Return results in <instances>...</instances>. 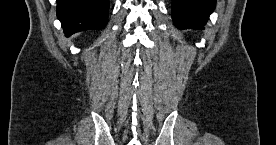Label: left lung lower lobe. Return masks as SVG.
Wrapping results in <instances>:
<instances>
[{
  "mask_svg": "<svg viewBox=\"0 0 276 145\" xmlns=\"http://www.w3.org/2000/svg\"><path fill=\"white\" fill-rule=\"evenodd\" d=\"M215 0H173L172 17L178 29H204Z\"/></svg>",
  "mask_w": 276,
  "mask_h": 145,
  "instance_id": "left-lung-lower-lobe-1",
  "label": "left lung lower lobe"
}]
</instances>
